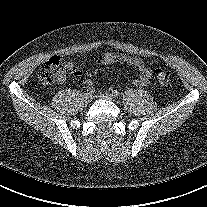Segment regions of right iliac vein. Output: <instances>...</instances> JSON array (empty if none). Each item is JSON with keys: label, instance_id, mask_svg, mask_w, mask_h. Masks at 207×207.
<instances>
[{"label": "right iliac vein", "instance_id": "63e3f726", "mask_svg": "<svg viewBox=\"0 0 207 207\" xmlns=\"http://www.w3.org/2000/svg\"><path fill=\"white\" fill-rule=\"evenodd\" d=\"M91 100H92V95H91V94H89V93H85V94L83 95V101H84L85 103H89V102H91Z\"/></svg>", "mask_w": 207, "mask_h": 207}]
</instances>
